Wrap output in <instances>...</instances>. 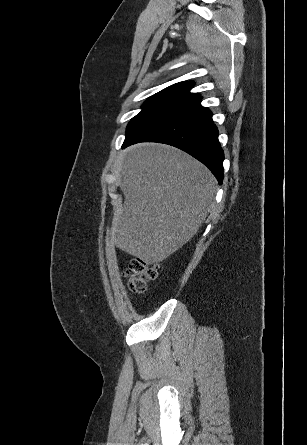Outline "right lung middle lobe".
Listing matches in <instances>:
<instances>
[{
	"instance_id": "dd1d6c3e",
	"label": "right lung middle lobe",
	"mask_w": 307,
	"mask_h": 445,
	"mask_svg": "<svg viewBox=\"0 0 307 445\" xmlns=\"http://www.w3.org/2000/svg\"><path fill=\"white\" fill-rule=\"evenodd\" d=\"M184 103L185 101L183 100L159 96L148 98L142 106V111L129 122L126 130V137L133 135L146 125L177 109Z\"/></svg>"
}]
</instances>
